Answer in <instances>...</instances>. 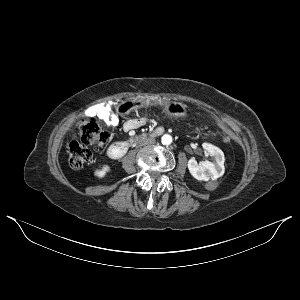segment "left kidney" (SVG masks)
Listing matches in <instances>:
<instances>
[{"instance_id":"5707ae66","label":"left kidney","mask_w":300,"mask_h":300,"mask_svg":"<svg viewBox=\"0 0 300 300\" xmlns=\"http://www.w3.org/2000/svg\"><path fill=\"white\" fill-rule=\"evenodd\" d=\"M203 148L207 154L211 155L214 159V162L204 161L200 164L191 158L188 161V169L191 175L197 180L209 181L217 180L224 174V153L222 150L210 143H203Z\"/></svg>"}]
</instances>
